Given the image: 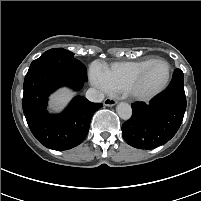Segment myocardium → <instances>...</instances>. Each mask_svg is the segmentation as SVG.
<instances>
[{
	"instance_id": "obj_1",
	"label": "myocardium",
	"mask_w": 201,
	"mask_h": 201,
	"mask_svg": "<svg viewBox=\"0 0 201 201\" xmlns=\"http://www.w3.org/2000/svg\"><path fill=\"white\" fill-rule=\"evenodd\" d=\"M159 62L164 63L167 67V74H166L164 81L154 90L147 91V92L140 90L141 81H142L144 75L146 74V72L148 71V69L153 64L159 63ZM171 71H172L171 66L166 60L161 59V58L153 59L134 76V78L129 82V84L127 85V87L124 91L126 92V94L129 97H131L135 100H138V101L151 100L166 89V87L168 86L170 79H171Z\"/></svg>"
}]
</instances>
